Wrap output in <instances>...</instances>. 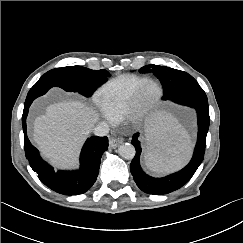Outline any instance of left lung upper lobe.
Instances as JSON below:
<instances>
[{"mask_svg":"<svg viewBox=\"0 0 243 243\" xmlns=\"http://www.w3.org/2000/svg\"><path fill=\"white\" fill-rule=\"evenodd\" d=\"M140 71L144 73L152 72L160 80L163 86L164 100H169L176 94L200 87L191 75L173 68L159 65H146Z\"/></svg>","mask_w":243,"mask_h":243,"instance_id":"obj_1","label":"left lung upper lobe"}]
</instances>
